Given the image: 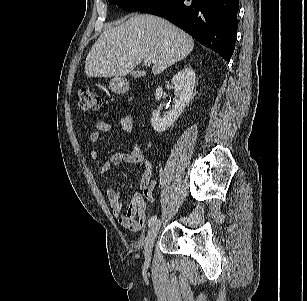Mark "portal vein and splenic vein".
Masks as SVG:
<instances>
[{
  "label": "portal vein and splenic vein",
  "mask_w": 307,
  "mask_h": 301,
  "mask_svg": "<svg viewBox=\"0 0 307 301\" xmlns=\"http://www.w3.org/2000/svg\"><path fill=\"white\" fill-rule=\"evenodd\" d=\"M145 61H146L147 63H155V62H156L154 59H152V58H150V57H147V58L145 59Z\"/></svg>",
  "instance_id": "18ae733b"
}]
</instances>
